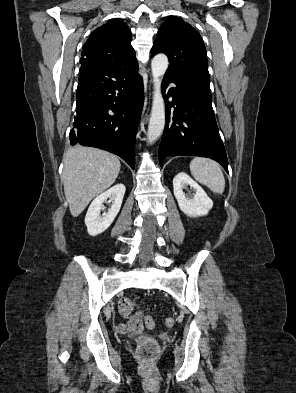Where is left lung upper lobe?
Instances as JSON below:
<instances>
[{
    "mask_svg": "<svg viewBox=\"0 0 296 393\" xmlns=\"http://www.w3.org/2000/svg\"><path fill=\"white\" fill-rule=\"evenodd\" d=\"M165 53L166 75L178 81L209 83L208 61L200 34L181 18L169 16L161 25L151 54Z\"/></svg>",
    "mask_w": 296,
    "mask_h": 393,
    "instance_id": "obj_1",
    "label": "left lung upper lobe"
}]
</instances>
